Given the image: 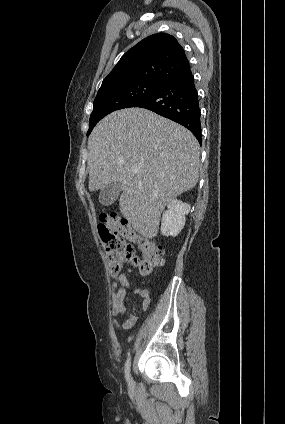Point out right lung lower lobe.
<instances>
[{"label":"right lung lower lobe","mask_w":285,"mask_h":424,"mask_svg":"<svg viewBox=\"0 0 285 424\" xmlns=\"http://www.w3.org/2000/svg\"><path fill=\"white\" fill-rule=\"evenodd\" d=\"M130 107L151 110L183 125L201 143L198 94L190 68L167 80L153 94L136 101Z\"/></svg>","instance_id":"right-lung-lower-lobe-1"}]
</instances>
